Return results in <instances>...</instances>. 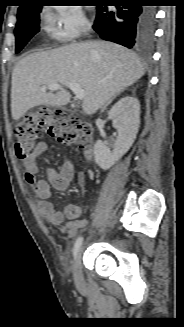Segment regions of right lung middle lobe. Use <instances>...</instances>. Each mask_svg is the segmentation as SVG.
<instances>
[{"label":"right lung middle lobe","mask_w":184,"mask_h":327,"mask_svg":"<svg viewBox=\"0 0 184 327\" xmlns=\"http://www.w3.org/2000/svg\"><path fill=\"white\" fill-rule=\"evenodd\" d=\"M41 8L42 6L35 5L33 7L18 11L17 24L15 27L16 53L20 52L27 42L37 32H39V13Z\"/></svg>","instance_id":"dd1d6c3e"}]
</instances>
